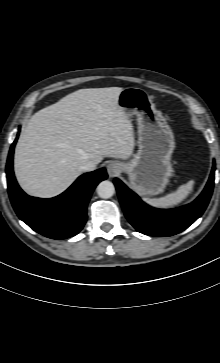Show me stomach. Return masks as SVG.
I'll return each instance as SVG.
<instances>
[{"mask_svg":"<svg viewBox=\"0 0 220 363\" xmlns=\"http://www.w3.org/2000/svg\"><path fill=\"white\" fill-rule=\"evenodd\" d=\"M118 105L128 117L136 116L138 150L128 163H121L130 185L141 196L160 194L173 173L171 155L174 135L151 97L143 89L128 87L118 96Z\"/></svg>","mask_w":220,"mask_h":363,"instance_id":"0dacf381","label":"stomach"}]
</instances>
